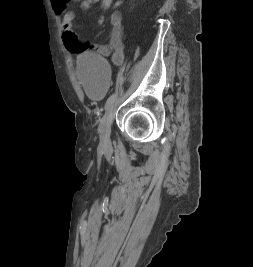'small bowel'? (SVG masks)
<instances>
[{
    "instance_id": "obj_1",
    "label": "small bowel",
    "mask_w": 253,
    "mask_h": 267,
    "mask_svg": "<svg viewBox=\"0 0 253 267\" xmlns=\"http://www.w3.org/2000/svg\"><path fill=\"white\" fill-rule=\"evenodd\" d=\"M72 1L79 2L80 9L83 12H87L98 2L102 10H108L111 7H118L121 4V0H51L54 11L62 17L61 38L66 49L73 53L94 51L103 56H110L114 64L121 65L124 61L121 13L114 11L110 15L111 31L108 43L104 45H90L81 42L72 29V22L75 18L74 11L69 7Z\"/></svg>"
}]
</instances>
